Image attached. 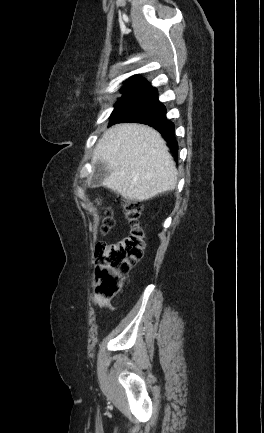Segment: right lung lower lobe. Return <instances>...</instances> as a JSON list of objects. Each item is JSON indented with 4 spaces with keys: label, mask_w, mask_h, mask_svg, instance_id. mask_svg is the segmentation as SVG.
Listing matches in <instances>:
<instances>
[{
    "label": "right lung lower lobe",
    "mask_w": 264,
    "mask_h": 433,
    "mask_svg": "<svg viewBox=\"0 0 264 433\" xmlns=\"http://www.w3.org/2000/svg\"><path fill=\"white\" fill-rule=\"evenodd\" d=\"M133 122L147 124L158 130L168 142L174 155H177L178 143L174 136V124L166 118V108L158 100V93L149 83L140 92L136 111L130 116L115 119L110 124Z\"/></svg>",
    "instance_id": "98d812e1"
}]
</instances>
